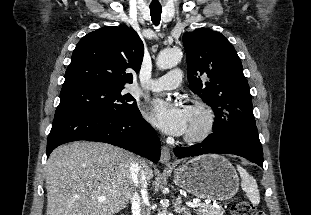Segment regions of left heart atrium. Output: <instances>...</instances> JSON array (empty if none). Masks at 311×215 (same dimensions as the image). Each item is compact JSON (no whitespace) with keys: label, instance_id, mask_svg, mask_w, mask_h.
Listing matches in <instances>:
<instances>
[{"label":"left heart atrium","instance_id":"left-heart-atrium-1","mask_svg":"<svg viewBox=\"0 0 311 215\" xmlns=\"http://www.w3.org/2000/svg\"><path fill=\"white\" fill-rule=\"evenodd\" d=\"M146 115L166 134L179 136L187 131L189 112L179 104L157 98L147 106Z\"/></svg>","mask_w":311,"mask_h":215}]
</instances>
